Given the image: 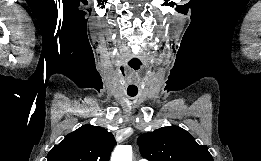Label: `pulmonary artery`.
I'll return each instance as SVG.
<instances>
[{
  "label": "pulmonary artery",
  "mask_w": 261,
  "mask_h": 161,
  "mask_svg": "<svg viewBox=\"0 0 261 161\" xmlns=\"http://www.w3.org/2000/svg\"><path fill=\"white\" fill-rule=\"evenodd\" d=\"M139 161H147L146 159H140Z\"/></svg>",
  "instance_id": "pulmonary-artery-1"
}]
</instances>
